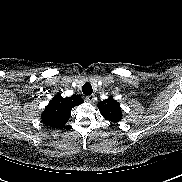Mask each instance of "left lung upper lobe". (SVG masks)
<instances>
[{
	"label": "left lung upper lobe",
	"instance_id": "left-lung-upper-lobe-1",
	"mask_svg": "<svg viewBox=\"0 0 182 182\" xmlns=\"http://www.w3.org/2000/svg\"><path fill=\"white\" fill-rule=\"evenodd\" d=\"M101 115L109 121L118 122L122 120V111L120 104L112 97L98 103Z\"/></svg>",
	"mask_w": 182,
	"mask_h": 182
}]
</instances>
